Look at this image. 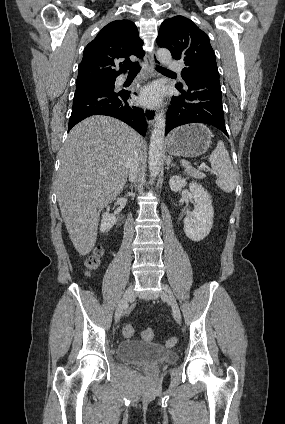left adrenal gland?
Returning <instances> with one entry per match:
<instances>
[{"instance_id":"left-adrenal-gland-1","label":"left adrenal gland","mask_w":285,"mask_h":424,"mask_svg":"<svg viewBox=\"0 0 285 424\" xmlns=\"http://www.w3.org/2000/svg\"><path fill=\"white\" fill-rule=\"evenodd\" d=\"M166 169L169 170L170 166H175V164L172 163L171 157L170 156H166Z\"/></svg>"}]
</instances>
